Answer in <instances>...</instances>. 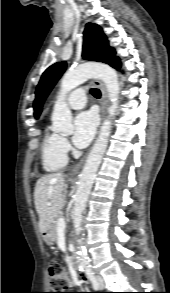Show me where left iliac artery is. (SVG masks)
<instances>
[{
	"label": "left iliac artery",
	"mask_w": 170,
	"mask_h": 293,
	"mask_svg": "<svg viewBox=\"0 0 170 293\" xmlns=\"http://www.w3.org/2000/svg\"><path fill=\"white\" fill-rule=\"evenodd\" d=\"M85 273H86L88 279L91 281L93 288L95 290L98 289V283H97V280H96V277H95V274H94L92 268L91 267L85 268Z\"/></svg>",
	"instance_id": "left-iliac-artery-1"
}]
</instances>
